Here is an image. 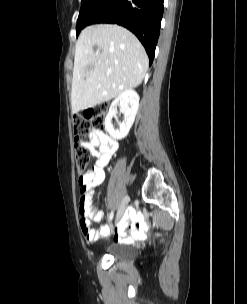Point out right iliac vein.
Wrapping results in <instances>:
<instances>
[{
    "label": "right iliac vein",
    "instance_id": "63e3f726",
    "mask_svg": "<svg viewBox=\"0 0 247 304\" xmlns=\"http://www.w3.org/2000/svg\"><path fill=\"white\" fill-rule=\"evenodd\" d=\"M128 201H129V197L128 196H125L118 208V211H117V216H116V219L117 221L123 216L125 210H126V207H127V204H128Z\"/></svg>",
    "mask_w": 247,
    "mask_h": 304
}]
</instances>
